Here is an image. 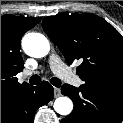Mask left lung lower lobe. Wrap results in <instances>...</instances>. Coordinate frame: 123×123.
Listing matches in <instances>:
<instances>
[{"instance_id": "left-lung-lower-lobe-1", "label": "left lung lower lobe", "mask_w": 123, "mask_h": 123, "mask_svg": "<svg viewBox=\"0 0 123 123\" xmlns=\"http://www.w3.org/2000/svg\"><path fill=\"white\" fill-rule=\"evenodd\" d=\"M61 92L74 103L73 111L61 123H121L123 119L122 97L68 84Z\"/></svg>"}]
</instances>
